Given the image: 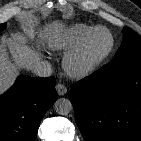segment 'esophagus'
<instances>
[{
	"label": "esophagus",
	"mask_w": 141,
	"mask_h": 141,
	"mask_svg": "<svg viewBox=\"0 0 141 141\" xmlns=\"http://www.w3.org/2000/svg\"><path fill=\"white\" fill-rule=\"evenodd\" d=\"M56 91H57L59 96H63V95L66 94L67 88L64 84H57L56 85Z\"/></svg>",
	"instance_id": "1"
}]
</instances>
